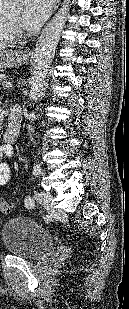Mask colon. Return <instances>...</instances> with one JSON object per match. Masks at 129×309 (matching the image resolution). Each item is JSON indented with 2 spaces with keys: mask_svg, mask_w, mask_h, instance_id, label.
Here are the masks:
<instances>
[{
  "mask_svg": "<svg viewBox=\"0 0 129 309\" xmlns=\"http://www.w3.org/2000/svg\"><path fill=\"white\" fill-rule=\"evenodd\" d=\"M14 208V204L0 199V213L8 214Z\"/></svg>",
  "mask_w": 129,
  "mask_h": 309,
  "instance_id": "1",
  "label": "colon"
}]
</instances>
